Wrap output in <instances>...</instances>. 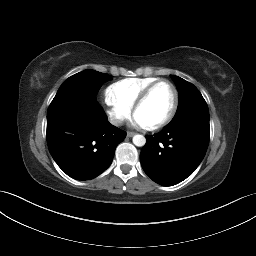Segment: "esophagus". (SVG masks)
Here are the masks:
<instances>
[{
    "label": "esophagus",
    "mask_w": 256,
    "mask_h": 256,
    "mask_svg": "<svg viewBox=\"0 0 256 256\" xmlns=\"http://www.w3.org/2000/svg\"><path fill=\"white\" fill-rule=\"evenodd\" d=\"M135 135V132H131V131H128L127 132V137H132Z\"/></svg>",
    "instance_id": "obj_1"
}]
</instances>
